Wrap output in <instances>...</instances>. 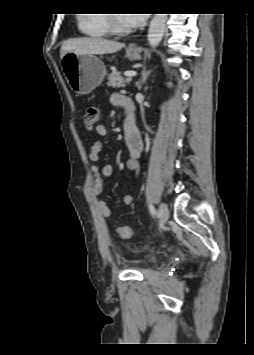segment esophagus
Segmentation results:
<instances>
[{
    "label": "esophagus",
    "instance_id": "1",
    "mask_svg": "<svg viewBox=\"0 0 254 355\" xmlns=\"http://www.w3.org/2000/svg\"><path fill=\"white\" fill-rule=\"evenodd\" d=\"M132 46H133V48H135V47H136V44H132Z\"/></svg>",
    "mask_w": 254,
    "mask_h": 355
}]
</instances>
